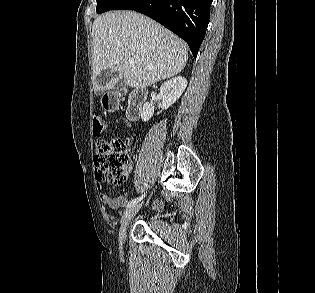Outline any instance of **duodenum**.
I'll list each match as a JSON object with an SVG mask.
<instances>
[{
	"label": "duodenum",
	"instance_id": "duodenum-1",
	"mask_svg": "<svg viewBox=\"0 0 315 293\" xmlns=\"http://www.w3.org/2000/svg\"><path fill=\"white\" fill-rule=\"evenodd\" d=\"M147 94V90L144 88H135L129 92L126 108V118L128 122H135L140 118Z\"/></svg>",
	"mask_w": 315,
	"mask_h": 293
}]
</instances>
